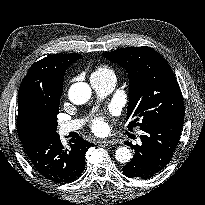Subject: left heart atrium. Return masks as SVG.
Returning <instances> with one entry per match:
<instances>
[{
    "label": "left heart atrium",
    "mask_w": 205,
    "mask_h": 205,
    "mask_svg": "<svg viewBox=\"0 0 205 205\" xmlns=\"http://www.w3.org/2000/svg\"><path fill=\"white\" fill-rule=\"evenodd\" d=\"M106 127V123L103 117H97L93 120L92 128L95 132H102Z\"/></svg>",
    "instance_id": "39dd6f15"
}]
</instances>
